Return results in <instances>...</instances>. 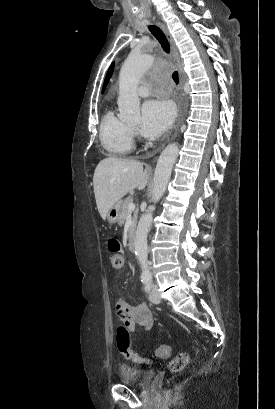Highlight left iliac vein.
I'll return each instance as SVG.
<instances>
[{
  "instance_id": "4c4485c4",
  "label": "left iliac vein",
  "mask_w": 275,
  "mask_h": 409,
  "mask_svg": "<svg viewBox=\"0 0 275 409\" xmlns=\"http://www.w3.org/2000/svg\"><path fill=\"white\" fill-rule=\"evenodd\" d=\"M148 298H149V301L151 303L157 304V303L161 302V297L159 295V292H158L157 288H155V287H152Z\"/></svg>"
}]
</instances>
